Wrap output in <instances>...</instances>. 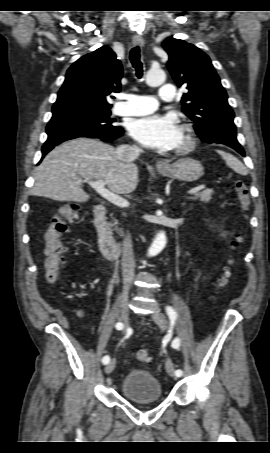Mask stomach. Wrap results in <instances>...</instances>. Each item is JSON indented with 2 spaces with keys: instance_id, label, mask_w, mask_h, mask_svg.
Segmentation results:
<instances>
[{
  "instance_id": "stomach-1",
  "label": "stomach",
  "mask_w": 270,
  "mask_h": 453,
  "mask_svg": "<svg viewBox=\"0 0 270 453\" xmlns=\"http://www.w3.org/2000/svg\"><path fill=\"white\" fill-rule=\"evenodd\" d=\"M158 172L170 178L181 181L194 182L204 173L202 164L192 158H181L165 168H158Z\"/></svg>"
}]
</instances>
